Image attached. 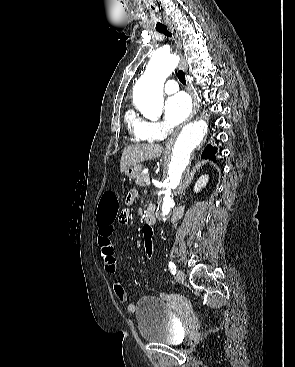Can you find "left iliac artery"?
Returning a JSON list of instances; mask_svg holds the SVG:
<instances>
[{
    "instance_id": "1",
    "label": "left iliac artery",
    "mask_w": 295,
    "mask_h": 367,
    "mask_svg": "<svg viewBox=\"0 0 295 367\" xmlns=\"http://www.w3.org/2000/svg\"><path fill=\"white\" fill-rule=\"evenodd\" d=\"M168 266H169V269H170L171 273H172V274H175V273H176V271H177L175 264H174L173 262H171V261H170V262L168 263Z\"/></svg>"
}]
</instances>
